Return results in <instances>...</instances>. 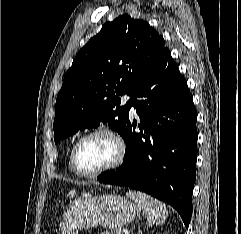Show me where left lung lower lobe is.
Here are the masks:
<instances>
[{
  "label": "left lung lower lobe",
  "mask_w": 241,
  "mask_h": 234,
  "mask_svg": "<svg viewBox=\"0 0 241 234\" xmlns=\"http://www.w3.org/2000/svg\"><path fill=\"white\" fill-rule=\"evenodd\" d=\"M125 158L97 180L143 191L174 207L188 227L196 179L197 114L185 78L166 47L139 82L130 102Z\"/></svg>",
  "instance_id": "1"
}]
</instances>
